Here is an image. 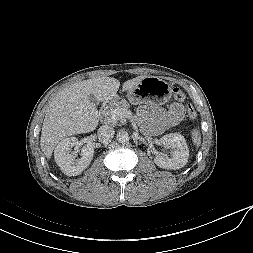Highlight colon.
<instances>
[{"mask_svg": "<svg viewBox=\"0 0 253 253\" xmlns=\"http://www.w3.org/2000/svg\"><path fill=\"white\" fill-rule=\"evenodd\" d=\"M173 95H174V98L180 102H183L186 99V96L183 93V91L177 87L173 89ZM186 113H187V116L192 120L195 119L197 116V112L191 104H187Z\"/></svg>", "mask_w": 253, "mask_h": 253, "instance_id": "obj_1", "label": "colon"}]
</instances>
